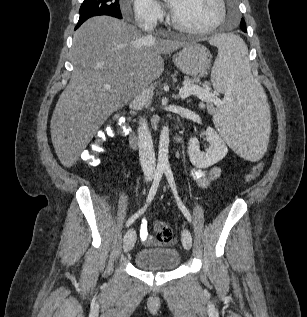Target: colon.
Listing matches in <instances>:
<instances>
[{"label":"colon","mask_w":307,"mask_h":317,"mask_svg":"<svg viewBox=\"0 0 307 317\" xmlns=\"http://www.w3.org/2000/svg\"><path fill=\"white\" fill-rule=\"evenodd\" d=\"M127 129V124L124 120L111 121L99 129L93 139L87 145L83 153V160L89 165H97L100 162V156L105 152L104 143L117 136L124 135ZM264 164L262 162L253 166L251 171L245 176L244 183L253 182L262 172ZM156 239L162 244L172 242L173 234L171 228L162 222L154 223Z\"/></svg>","instance_id":"obj_1"}]
</instances>
